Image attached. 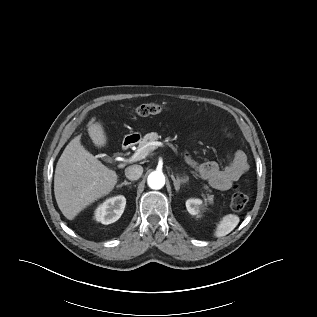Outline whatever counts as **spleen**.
Masks as SVG:
<instances>
[{"instance_id": "spleen-1", "label": "spleen", "mask_w": 317, "mask_h": 317, "mask_svg": "<svg viewBox=\"0 0 317 317\" xmlns=\"http://www.w3.org/2000/svg\"><path fill=\"white\" fill-rule=\"evenodd\" d=\"M239 221V217L235 214H227L223 216L216 226L214 235L217 238H221L228 235L239 224Z\"/></svg>"}]
</instances>
